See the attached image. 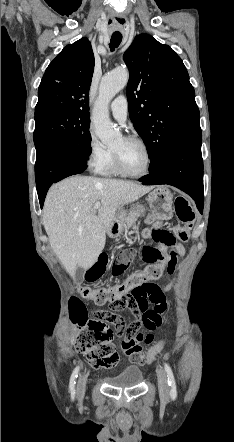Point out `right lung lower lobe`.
Wrapping results in <instances>:
<instances>
[{"instance_id":"98d812e1","label":"right lung lower lobe","mask_w":234,"mask_h":442,"mask_svg":"<svg viewBox=\"0 0 234 442\" xmlns=\"http://www.w3.org/2000/svg\"><path fill=\"white\" fill-rule=\"evenodd\" d=\"M85 155L62 143H41L36 146L35 178L41 208L49 187L61 179L79 174L87 168Z\"/></svg>"}]
</instances>
